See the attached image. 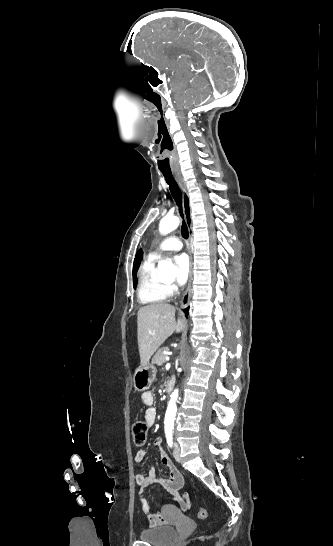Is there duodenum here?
Returning <instances> with one entry per match:
<instances>
[{
	"label": "duodenum",
	"instance_id": "duodenum-1",
	"mask_svg": "<svg viewBox=\"0 0 333 546\" xmlns=\"http://www.w3.org/2000/svg\"><path fill=\"white\" fill-rule=\"evenodd\" d=\"M175 386V379L173 377H170L166 381V389L168 392H172Z\"/></svg>",
	"mask_w": 333,
	"mask_h": 546
}]
</instances>
